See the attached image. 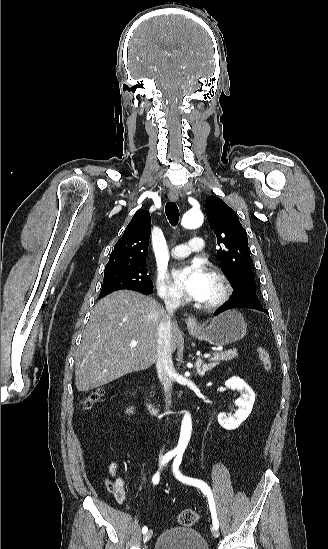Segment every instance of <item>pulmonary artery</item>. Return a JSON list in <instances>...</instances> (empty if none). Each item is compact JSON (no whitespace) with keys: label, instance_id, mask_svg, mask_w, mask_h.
<instances>
[{"label":"pulmonary artery","instance_id":"1","mask_svg":"<svg viewBox=\"0 0 328 549\" xmlns=\"http://www.w3.org/2000/svg\"><path fill=\"white\" fill-rule=\"evenodd\" d=\"M187 246H175L171 255L175 259H181L188 257L192 252H205L207 245L205 241H202L200 237H188L186 241ZM191 249V251L189 250Z\"/></svg>","mask_w":328,"mask_h":549}]
</instances>
